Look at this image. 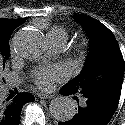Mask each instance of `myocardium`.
Masks as SVG:
<instances>
[{"instance_id": "f54148a6", "label": "myocardium", "mask_w": 125, "mask_h": 125, "mask_svg": "<svg viewBox=\"0 0 125 125\" xmlns=\"http://www.w3.org/2000/svg\"><path fill=\"white\" fill-rule=\"evenodd\" d=\"M77 52L80 56H83L86 52V43L82 42L77 46Z\"/></svg>"}]
</instances>
